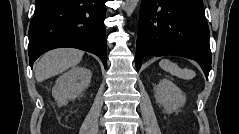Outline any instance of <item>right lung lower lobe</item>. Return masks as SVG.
I'll return each mask as SVG.
<instances>
[{
	"instance_id": "98d812e1",
	"label": "right lung lower lobe",
	"mask_w": 239,
	"mask_h": 134,
	"mask_svg": "<svg viewBox=\"0 0 239 134\" xmlns=\"http://www.w3.org/2000/svg\"><path fill=\"white\" fill-rule=\"evenodd\" d=\"M106 0H36L29 28V63L44 52L72 47L99 56L106 67Z\"/></svg>"
}]
</instances>
